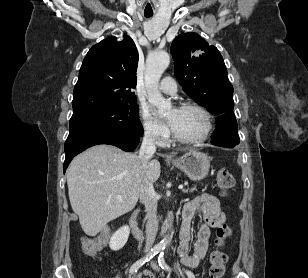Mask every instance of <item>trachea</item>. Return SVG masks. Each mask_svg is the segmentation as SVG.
Here are the masks:
<instances>
[{"mask_svg":"<svg viewBox=\"0 0 308 278\" xmlns=\"http://www.w3.org/2000/svg\"><path fill=\"white\" fill-rule=\"evenodd\" d=\"M152 15H153V13H144V16H145L146 18H150Z\"/></svg>","mask_w":308,"mask_h":278,"instance_id":"obj_1","label":"trachea"}]
</instances>
